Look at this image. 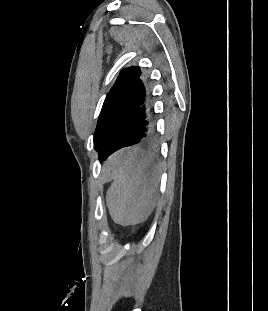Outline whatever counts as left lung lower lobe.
Masks as SVG:
<instances>
[{"label": "left lung lower lobe", "mask_w": 268, "mask_h": 311, "mask_svg": "<svg viewBox=\"0 0 268 311\" xmlns=\"http://www.w3.org/2000/svg\"><path fill=\"white\" fill-rule=\"evenodd\" d=\"M119 118H121L120 125L114 132L102 161L117 150L127 147L128 144H139L141 147L148 141H157V134H154L155 114L150 84L145 74L142 73L136 81L128 104L122 110ZM123 118L124 121L121 123Z\"/></svg>", "instance_id": "obj_1"}]
</instances>
